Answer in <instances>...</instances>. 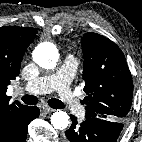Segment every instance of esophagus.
<instances>
[{
	"label": "esophagus",
	"mask_w": 142,
	"mask_h": 142,
	"mask_svg": "<svg viewBox=\"0 0 142 142\" xmlns=\"http://www.w3.org/2000/svg\"><path fill=\"white\" fill-rule=\"evenodd\" d=\"M42 111L46 114H49V113L54 112V109L47 107V106H43Z\"/></svg>",
	"instance_id": "1"
}]
</instances>
